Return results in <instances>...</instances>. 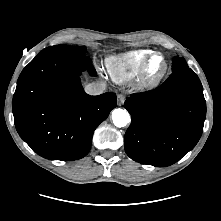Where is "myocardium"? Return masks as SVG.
Returning a JSON list of instances; mask_svg holds the SVG:
<instances>
[{
  "instance_id": "myocardium-1",
  "label": "myocardium",
  "mask_w": 221,
  "mask_h": 221,
  "mask_svg": "<svg viewBox=\"0 0 221 221\" xmlns=\"http://www.w3.org/2000/svg\"><path fill=\"white\" fill-rule=\"evenodd\" d=\"M156 56L162 58L163 65L160 70L152 71L151 70V62L152 59ZM168 70V62L165 56L160 52H151L149 56L145 59L142 68L139 73V79L143 87L145 88H153L159 84L162 78L165 76Z\"/></svg>"
}]
</instances>
